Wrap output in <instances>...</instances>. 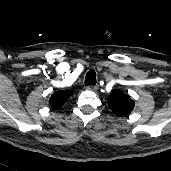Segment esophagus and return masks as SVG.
Listing matches in <instances>:
<instances>
[{"mask_svg": "<svg viewBox=\"0 0 171 171\" xmlns=\"http://www.w3.org/2000/svg\"><path fill=\"white\" fill-rule=\"evenodd\" d=\"M98 89V85H89L87 86V90L96 91Z\"/></svg>", "mask_w": 171, "mask_h": 171, "instance_id": "esophagus-1", "label": "esophagus"}]
</instances>
